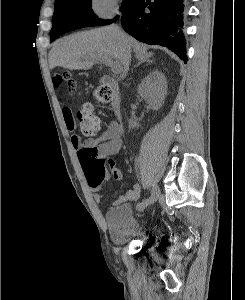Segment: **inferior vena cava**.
Here are the masks:
<instances>
[{
  "label": "inferior vena cava",
  "instance_id": "obj_1",
  "mask_svg": "<svg viewBox=\"0 0 245 300\" xmlns=\"http://www.w3.org/2000/svg\"><path fill=\"white\" fill-rule=\"evenodd\" d=\"M125 69H126V70L129 69V59H126V62H125Z\"/></svg>",
  "mask_w": 245,
  "mask_h": 300
}]
</instances>
